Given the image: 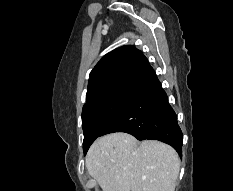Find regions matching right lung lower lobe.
<instances>
[{
  "label": "right lung lower lobe",
  "mask_w": 233,
  "mask_h": 191,
  "mask_svg": "<svg viewBox=\"0 0 233 191\" xmlns=\"http://www.w3.org/2000/svg\"><path fill=\"white\" fill-rule=\"evenodd\" d=\"M126 105L99 136L126 132L138 140L154 139L171 145L182 155V132L177 116L150 64L128 89Z\"/></svg>",
  "instance_id": "98d812e1"
}]
</instances>
